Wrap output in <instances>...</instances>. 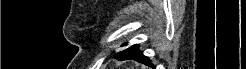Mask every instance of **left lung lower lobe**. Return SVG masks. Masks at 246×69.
Wrapping results in <instances>:
<instances>
[{
  "mask_svg": "<svg viewBox=\"0 0 246 69\" xmlns=\"http://www.w3.org/2000/svg\"><path fill=\"white\" fill-rule=\"evenodd\" d=\"M138 45L135 44L117 54H115V58L123 61V60H135L139 63H143L146 65L151 66L152 63L150 61V59L146 56L143 55V53L137 48Z\"/></svg>",
  "mask_w": 246,
  "mask_h": 69,
  "instance_id": "left-lung-lower-lobe-1",
  "label": "left lung lower lobe"
}]
</instances>
